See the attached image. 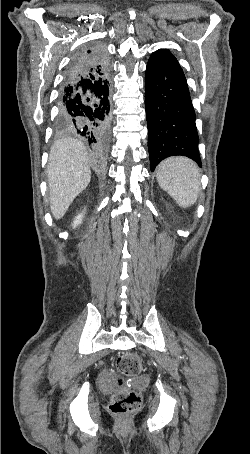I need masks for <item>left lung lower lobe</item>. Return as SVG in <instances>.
I'll list each match as a JSON object with an SVG mask.
<instances>
[{
  "label": "left lung lower lobe",
  "mask_w": 250,
  "mask_h": 454,
  "mask_svg": "<svg viewBox=\"0 0 250 454\" xmlns=\"http://www.w3.org/2000/svg\"><path fill=\"white\" fill-rule=\"evenodd\" d=\"M145 108L150 168L165 158L187 156L201 167L195 112L184 73L171 54L157 50L147 64Z\"/></svg>",
  "instance_id": "obj_1"
}]
</instances>
